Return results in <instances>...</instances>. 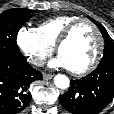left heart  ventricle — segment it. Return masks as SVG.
<instances>
[{
    "label": "left heart ventricle",
    "instance_id": "obj_1",
    "mask_svg": "<svg viewBox=\"0 0 114 114\" xmlns=\"http://www.w3.org/2000/svg\"><path fill=\"white\" fill-rule=\"evenodd\" d=\"M97 47L98 38L94 29L88 23H81L61 46L59 55L70 69H81L92 61Z\"/></svg>",
    "mask_w": 114,
    "mask_h": 114
}]
</instances>
